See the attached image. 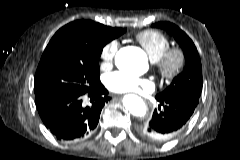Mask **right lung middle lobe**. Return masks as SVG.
<instances>
[{
	"instance_id": "1",
	"label": "right lung middle lobe",
	"mask_w": 240,
	"mask_h": 160,
	"mask_svg": "<svg viewBox=\"0 0 240 160\" xmlns=\"http://www.w3.org/2000/svg\"><path fill=\"white\" fill-rule=\"evenodd\" d=\"M125 29L97 30L86 20L59 29L48 43L39 62L35 95L51 89L86 93L100 84L98 59L103 47Z\"/></svg>"
}]
</instances>
